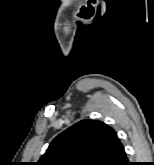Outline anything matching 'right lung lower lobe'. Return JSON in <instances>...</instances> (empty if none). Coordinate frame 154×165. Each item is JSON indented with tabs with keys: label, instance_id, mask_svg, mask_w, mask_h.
<instances>
[{
	"label": "right lung lower lobe",
	"instance_id": "1",
	"mask_svg": "<svg viewBox=\"0 0 154 165\" xmlns=\"http://www.w3.org/2000/svg\"><path fill=\"white\" fill-rule=\"evenodd\" d=\"M108 165H131L126 157L124 147L121 143L118 145V152L114 155Z\"/></svg>",
	"mask_w": 154,
	"mask_h": 165
}]
</instances>
